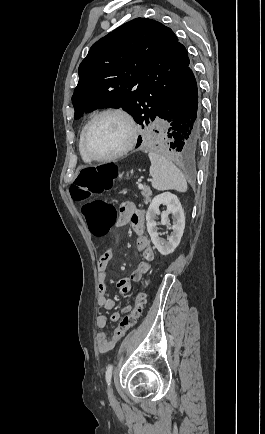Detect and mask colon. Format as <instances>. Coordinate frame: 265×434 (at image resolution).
Returning a JSON list of instances; mask_svg holds the SVG:
<instances>
[{
    "label": "colon",
    "mask_w": 265,
    "mask_h": 434,
    "mask_svg": "<svg viewBox=\"0 0 265 434\" xmlns=\"http://www.w3.org/2000/svg\"><path fill=\"white\" fill-rule=\"evenodd\" d=\"M106 181H115L114 164H85L84 168L79 169L76 180L69 184V193H79L77 200L86 202L81 205V213L88 229L96 237L106 236L118 219V211L112 202L105 199L90 200L88 194L94 193V189H106L109 186ZM144 302L145 295L138 293L136 308L129 311L128 318L122 319L116 328L110 349L114 342H118L130 328L136 325Z\"/></svg>",
    "instance_id": "5ec220e1"
}]
</instances>
